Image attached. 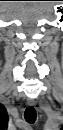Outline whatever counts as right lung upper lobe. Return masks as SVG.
<instances>
[{
	"label": "right lung upper lobe",
	"instance_id": "right-lung-upper-lobe-1",
	"mask_svg": "<svg viewBox=\"0 0 63 130\" xmlns=\"http://www.w3.org/2000/svg\"><path fill=\"white\" fill-rule=\"evenodd\" d=\"M1 117H2V123H3L4 127H7L8 115H7V112L3 106H2Z\"/></svg>",
	"mask_w": 63,
	"mask_h": 130
}]
</instances>
